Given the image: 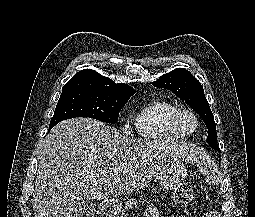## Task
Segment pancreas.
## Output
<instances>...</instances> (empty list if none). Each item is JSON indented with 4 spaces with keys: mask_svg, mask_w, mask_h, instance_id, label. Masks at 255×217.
Returning <instances> with one entry per match:
<instances>
[{
    "mask_svg": "<svg viewBox=\"0 0 255 217\" xmlns=\"http://www.w3.org/2000/svg\"><path fill=\"white\" fill-rule=\"evenodd\" d=\"M143 200L142 197L138 198H132L131 200H129L128 202H125V210L122 211V216L125 214L126 211H128L129 209H132L133 207H137L138 203H140Z\"/></svg>",
    "mask_w": 255,
    "mask_h": 217,
    "instance_id": "cf45deb5",
    "label": "pancreas"
}]
</instances>
